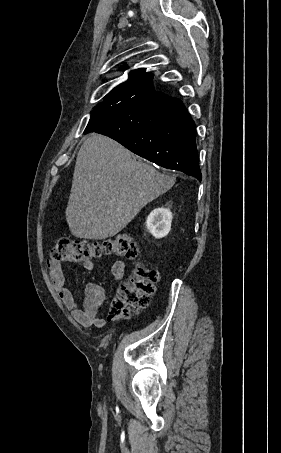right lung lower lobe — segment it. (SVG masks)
I'll return each mask as SVG.
<instances>
[{"label": "right lung lower lobe", "instance_id": "obj_1", "mask_svg": "<svg viewBox=\"0 0 281 453\" xmlns=\"http://www.w3.org/2000/svg\"><path fill=\"white\" fill-rule=\"evenodd\" d=\"M91 113L85 133L109 136L159 166L201 180L196 126L180 100L153 90Z\"/></svg>", "mask_w": 281, "mask_h": 453}]
</instances>
